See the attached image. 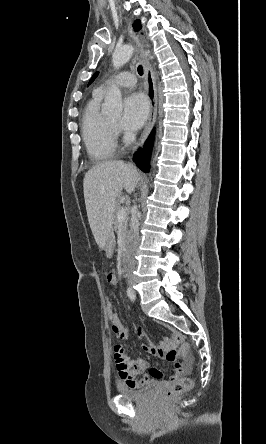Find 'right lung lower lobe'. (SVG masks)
I'll return each instance as SVG.
<instances>
[{"mask_svg": "<svg viewBox=\"0 0 266 444\" xmlns=\"http://www.w3.org/2000/svg\"><path fill=\"white\" fill-rule=\"evenodd\" d=\"M153 139H154V130L148 137L147 141L144 144V148L139 150L135 153L134 161L136 162L137 166L144 172L149 171V159L151 156V149L153 146Z\"/></svg>", "mask_w": 266, "mask_h": 444, "instance_id": "1", "label": "right lung lower lobe"}]
</instances>
